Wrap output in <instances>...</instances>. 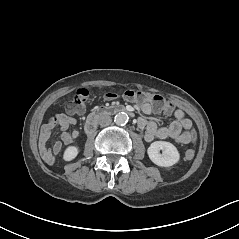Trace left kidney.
<instances>
[{
    "label": "left kidney",
    "instance_id": "5707ae66",
    "mask_svg": "<svg viewBox=\"0 0 239 239\" xmlns=\"http://www.w3.org/2000/svg\"><path fill=\"white\" fill-rule=\"evenodd\" d=\"M161 150L163 153H160ZM147 155L159 167H171L180 161L178 149L172 143L166 141L152 142L147 149Z\"/></svg>",
    "mask_w": 239,
    "mask_h": 239
}]
</instances>
